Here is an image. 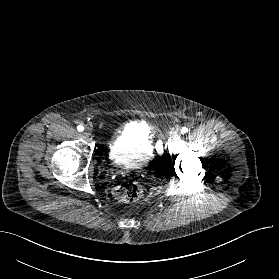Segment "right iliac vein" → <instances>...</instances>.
Wrapping results in <instances>:
<instances>
[{
    "label": "right iliac vein",
    "mask_w": 279,
    "mask_h": 279,
    "mask_svg": "<svg viewBox=\"0 0 279 279\" xmlns=\"http://www.w3.org/2000/svg\"><path fill=\"white\" fill-rule=\"evenodd\" d=\"M91 133H92L91 127H86L83 134H84L86 137H89V136L91 135Z\"/></svg>",
    "instance_id": "1"
}]
</instances>
